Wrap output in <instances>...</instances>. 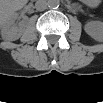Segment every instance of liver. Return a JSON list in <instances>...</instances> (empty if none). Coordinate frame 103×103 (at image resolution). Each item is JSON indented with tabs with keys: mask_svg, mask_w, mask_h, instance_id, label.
<instances>
[{
	"mask_svg": "<svg viewBox=\"0 0 103 103\" xmlns=\"http://www.w3.org/2000/svg\"><path fill=\"white\" fill-rule=\"evenodd\" d=\"M25 4L26 2L22 0L4 1L2 5V13L4 14V17L7 18L15 13L16 10L21 9Z\"/></svg>",
	"mask_w": 103,
	"mask_h": 103,
	"instance_id": "1",
	"label": "liver"
}]
</instances>
